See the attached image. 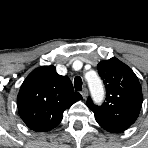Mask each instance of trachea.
<instances>
[{
	"mask_svg": "<svg viewBox=\"0 0 148 148\" xmlns=\"http://www.w3.org/2000/svg\"><path fill=\"white\" fill-rule=\"evenodd\" d=\"M74 87L77 91H82V79L80 76H76L74 79Z\"/></svg>",
	"mask_w": 148,
	"mask_h": 148,
	"instance_id": "1",
	"label": "trachea"
}]
</instances>
